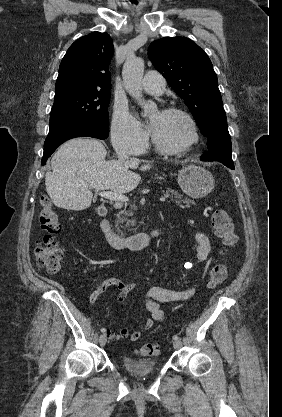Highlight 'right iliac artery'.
I'll return each instance as SVG.
<instances>
[{
  "label": "right iliac artery",
  "mask_w": 282,
  "mask_h": 417,
  "mask_svg": "<svg viewBox=\"0 0 282 417\" xmlns=\"http://www.w3.org/2000/svg\"><path fill=\"white\" fill-rule=\"evenodd\" d=\"M101 332H102V333H105V332H106V329H105V328H102V329H101Z\"/></svg>",
  "instance_id": "1"
}]
</instances>
